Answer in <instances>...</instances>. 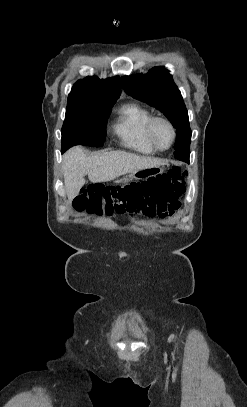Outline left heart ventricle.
Listing matches in <instances>:
<instances>
[{
	"instance_id": "left-heart-ventricle-1",
	"label": "left heart ventricle",
	"mask_w": 247,
	"mask_h": 407,
	"mask_svg": "<svg viewBox=\"0 0 247 407\" xmlns=\"http://www.w3.org/2000/svg\"><path fill=\"white\" fill-rule=\"evenodd\" d=\"M154 135L159 146L163 148L169 146L172 135L169 127L166 124L158 123L155 126Z\"/></svg>"
}]
</instances>
